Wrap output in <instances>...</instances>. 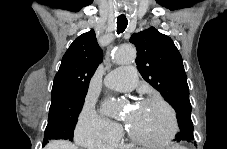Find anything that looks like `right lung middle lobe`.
Returning a JSON list of instances; mask_svg holds the SVG:
<instances>
[{
	"mask_svg": "<svg viewBox=\"0 0 227 149\" xmlns=\"http://www.w3.org/2000/svg\"><path fill=\"white\" fill-rule=\"evenodd\" d=\"M85 96H52L43 146L54 139H73V131Z\"/></svg>",
	"mask_w": 227,
	"mask_h": 149,
	"instance_id": "1",
	"label": "right lung middle lobe"
}]
</instances>
